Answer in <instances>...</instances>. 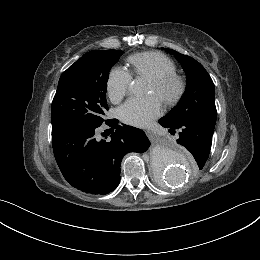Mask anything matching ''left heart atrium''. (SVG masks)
<instances>
[{
  "mask_svg": "<svg viewBox=\"0 0 260 260\" xmlns=\"http://www.w3.org/2000/svg\"><path fill=\"white\" fill-rule=\"evenodd\" d=\"M161 112V101L156 96L130 98L119 108L120 119L131 125L146 126Z\"/></svg>",
  "mask_w": 260,
  "mask_h": 260,
  "instance_id": "left-heart-atrium-1",
  "label": "left heart atrium"
}]
</instances>
